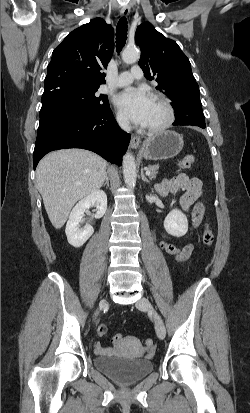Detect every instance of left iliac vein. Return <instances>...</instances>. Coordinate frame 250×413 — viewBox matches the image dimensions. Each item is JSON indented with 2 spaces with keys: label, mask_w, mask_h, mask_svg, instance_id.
<instances>
[{
  "label": "left iliac vein",
  "mask_w": 250,
  "mask_h": 413,
  "mask_svg": "<svg viewBox=\"0 0 250 413\" xmlns=\"http://www.w3.org/2000/svg\"><path fill=\"white\" fill-rule=\"evenodd\" d=\"M136 307L140 310H146V311L151 312V314L153 315L154 322H155L156 333L160 339H164L166 335V329H165L163 320L161 316L155 311L150 301L146 297H141L137 301Z\"/></svg>",
  "instance_id": "1"
}]
</instances>
